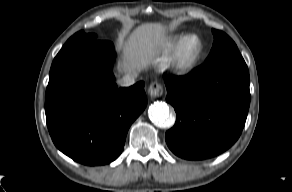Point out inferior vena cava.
I'll return each mask as SVG.
<instances>
[{
	"label": "inferior vena cava",
	"mask_w": 292,
	"mask_h": 192,
	"mask_svg": "<svg viewBox=\"0 0 292 192\" xmlns=\"http://www.w3.org/2000/svg\"><path fill=\"white\" fill-rule=\"evenodd\" d=\"M138 73L137 72H131L123 76L119 81V85L123 87L131 86L135 83V79L137 78Z\"/></svg>",
	"instance_id": "obj_1"
}]
</instances>
